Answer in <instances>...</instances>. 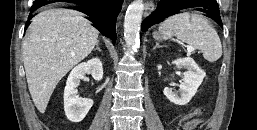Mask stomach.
Returning <instances> with one entry per match:
<instances>
[{
  "mask_svg": "<svg viewBox=\"0 0 257 130\" xmlns=\"http://www.w3.org/2000/svg\"><path fill=\"white\" fill-rule=\"evenodd\" d=\"M153 37H154L156 40H162L163 38H165L163 34L158 33V32H154V33H153Z\"/></svg>",
  "mask_w": 257,
  "mask_h": 130,
  "instance_id": "obj_1",
  "label": "stomach"
}]
</instances>
